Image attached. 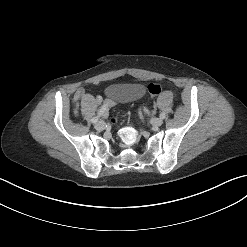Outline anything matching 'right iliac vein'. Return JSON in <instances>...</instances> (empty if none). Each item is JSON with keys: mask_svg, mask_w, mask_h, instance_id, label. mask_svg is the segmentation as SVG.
<instances>
[{"mask_svg": "<svg viewBox=\"0 0 247 247\" xmlns=\"http://www.w3.org/2000/svg\"><path fill=\"white\" fill-rule=\"evenodd\" d=\"M105 127H106V124H105L104 121H99V122H97L96 125H95V128H96V130H98V131L104 130Z\"/></svg>", "mask_w": 247, "mask_h": 247, "instance_id": "63e3f726", "label": "right iliac vein"}]
</instances>
